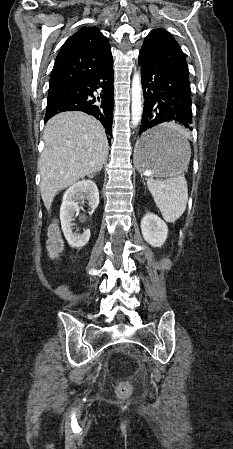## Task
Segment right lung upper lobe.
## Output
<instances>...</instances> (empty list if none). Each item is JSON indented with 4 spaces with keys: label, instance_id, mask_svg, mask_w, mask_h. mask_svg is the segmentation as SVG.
I'll return each mask as SVG.
<instances>
[{
    "label": "right lung upper lobe",
    "instance_id": "obj_1",
    "mask_svg": "<svg viewBox=\"0 0 233 449\" xmlns=\"http://www.w3.org/2000/svg\"><path fill=\"white\" fill-rule=\"evenodd\" d=\"M112 61L108 39L97 28H82L67 39L58 53L49 90L73 87Z\"/></svg>",
    "mask_w": 233,
    "mask_h": 449
}]
</instances>
